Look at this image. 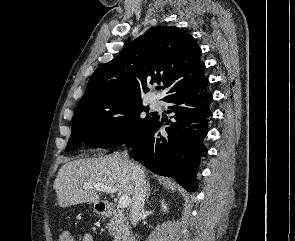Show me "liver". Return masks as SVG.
Wrapping results in <instances>:
<instances>
[{
	"instance_id": "6515ba94",
	"label": "liver",
	"mask_w": 295,
	"mask_h": 241,
	"mask_svg": "<svg viewBox=\"0 0 295 241\" xmlns=\"http://www.w3.org/2000/svg\"><path fill=\"white\" fill-rule=\"evenodd\" d=\"M131 164L137 165L122 158L120 154L66 162L58 171L53 185L58 205L65 208L101 202V194L96 189L83 188L87 184L113 186L119 196H132L134 183Z\"/></svg>"
}]
</instances>
